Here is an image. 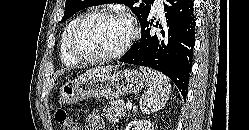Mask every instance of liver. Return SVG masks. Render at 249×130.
I'll return each mask as SVG.
<instances>
[{
  "label": "liver",
  "instance_id": "1",
  "mask_svg": "<svg viewBox=\"0 0 249 130\" xmlns=\"http://www.w3.org/2000/svg\"><path fill=\"white\" fill-rule=\"evenodd\" d=\"M112 69H113V67H111V66H107V67H96V68H92L90 70H87L84 75H86V74H92V73H96V72H108V71H112Z\"/></svg>",
  "mask_w": 249,
  "mask_h": 130
}]
</instances>
